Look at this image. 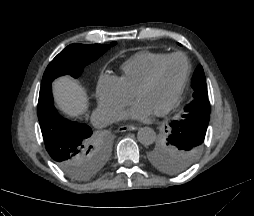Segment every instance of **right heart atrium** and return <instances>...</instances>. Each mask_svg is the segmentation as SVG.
<instances>
[{"mask_svg": "<svg viewBox=\"0 0 254 216\" xmlns=\"http://www.w3.org/2000/svg\"><path fill=\"white\" fill-rule=\"evenodd\" d=\"M96 95L102 109L115 108L119 112L126 108L133 98V95L124 89L118 78L107 75L99 79Z\"/></svg>", "mask_w": 254, "mask_h": 216, "instance_id": "d8ad5b80", "label": "right heart atrium"}]
</instances>
